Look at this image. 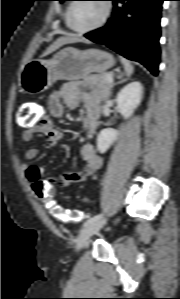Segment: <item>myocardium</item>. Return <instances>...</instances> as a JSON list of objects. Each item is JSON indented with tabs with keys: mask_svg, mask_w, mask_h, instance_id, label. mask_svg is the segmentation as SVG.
<instances>
[{
	"mask_svg": "<svg viewBox=\"0 0 180 299\" xmlns=\"http://www.w3.org/2000/svg\"><path fill=\"white\" fill-rule=\"evenodd\" d=\"M76 1L77 0H73V2L70 3L68 12H67V25L73 32H75L77 34L90 33V32H93V31H96V30L102 28L108 22V20L111 16V12H112V5L109 2V0H100L102 2L103 9H104L103 16H102L101 20L97 24H95L89 28L79 29V28L74 27V25L72 24V12H73L75 4L77 3Z\"/></svg>",
	"mask_w": 180,
	"mask_h": 299,
	"instance_id": "myocardium-1",
	"label": "myocardium"
}]
</instances>
